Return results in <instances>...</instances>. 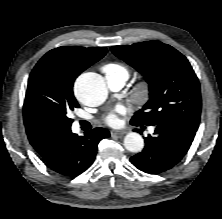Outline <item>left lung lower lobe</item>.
I'll return each mask as SVG.
<instances>
[{
  "label": "left lung lower lobe",
  "mask_w": 222,
  "mask_h": 219,
  "mask_svg": "<svg viewBox=\"0 0 222 219\" xmlns=\"http://www.w3.org/2000/svg\"><path fill=\"white\" fill-rule=\"evenodd\" d=\"M154 126V136L145 138L143 151L130 158L139 170L149 174H159L175 166L187 153L196 134V131L174 122Z\"/></svg>",
  "instance_id": "left-lung-lower-lobe-1"
}]
</instances>
